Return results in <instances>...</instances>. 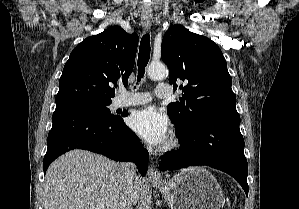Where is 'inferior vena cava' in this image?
Listing matches in <instances>:
<instances>
[{"instance_id": "inferior-vena-cava-1", "label": "inferior vena cava", "mask_w": 299, "mask_h": 209, "mask_svg": "<svg viewBox=\"0 0 299 209\" xmlns=\"http://www.w3.org/2000/svg\"><path fill=\"white\" fill-rule=\"evenodd\" d=\"M120 170L124 178L125 195L120 202L119 209H132V200L130 198V190L136 178V167L133 163L121 164Z\"/></svg>"}]
</instances>
